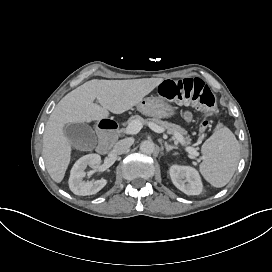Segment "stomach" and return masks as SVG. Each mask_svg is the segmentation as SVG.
Segmentation results:
<instances>
[{
  "mask_svg": "<svg viewBox=\"0 0 272 272\" xmlns=\"http://www.w3.org/2000/svg\"><path fill=\"white\" fill-rule=\"evenodd\" d=\"M139 110L147 116L156 118H172L176 115V108L170 102L159 97L144 98L138 104Z\"/></svg>",
  "mask_w": 272,
  "mask_h": 272,
  "instance_id": "stomach-1",
  "label": "stomach"
}]
</instances>
